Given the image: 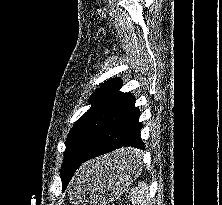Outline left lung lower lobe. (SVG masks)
Masks as SVG:
<instances>
[{
	"instance_id": "left-lung-lower-lobe-1",
	"label": "left lung lower lobe",
	"mask_w": 222,
	"mask_h": 205,
	"mask_svg": "<svg viewBox=\"0 0 222 205\" xmlns=\"http://www.w3.org/2000/svg\"><path fill=\"white\" fill-rule=\"evenodd\" d=\"M139 116L140 112L135 107L134 96L131 93H125L109 113L87 154L69 162L71 178L86 161L116 149H122L115 159L117 164L129 165L140 160V155L136 150L123 149L124 147L144 149L140 138L142 124L139 122ZM71 178L62 185L63 191Z\"/></svg>"
}]
</instances>
